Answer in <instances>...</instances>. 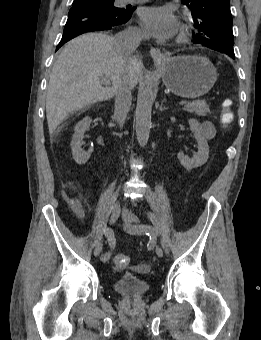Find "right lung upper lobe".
<instances>
[{
    "instance_id": "1",
    "label": "right lung upper lobe",
    "mask_w": 261,
    "mask_h": 340,
    "mask_svg": "<svg viewBox=\"0 0 261 340\" xmlns=\"http://www.w3.org/2000/svg\"><path fill=\"white\" fill-rule=\"evenodd\" d=\"M85 1H91V0H74L73 3H81V2H85Z\"/></svg>"
}]
</instances>
